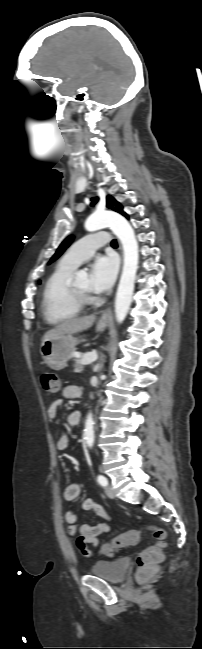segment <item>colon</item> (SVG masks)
<instances>
[{"label":"colon","instance_id":"obj_1","mask_svg":"<svg viewBox=\"0 0 202 649\" xmlns=\"http://www.w3.org/2000/svg\"><path fill=\"white\" fill-rule=\"evenodd\" d=\"M43 389L49 393H57L61 387V380L53 371H44L41 374ZM146 530L153 532L158 540L157 544L144 549L136 559L138 578L143 581L152 577L159 569L163 561L162 549L165 546L166 533L162 528L156 526H145ZM139 533L136 530H129L114 538L111 542L102 547L104 554L110 555L116 549L125 548L137 542Z\"/></svg>","mask_w":202,"mask_h":649}]
</instances>
